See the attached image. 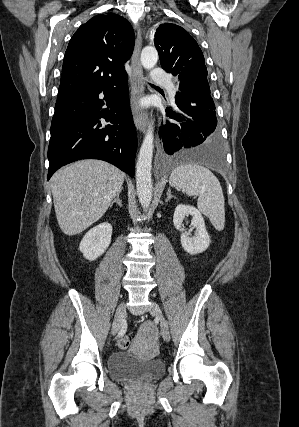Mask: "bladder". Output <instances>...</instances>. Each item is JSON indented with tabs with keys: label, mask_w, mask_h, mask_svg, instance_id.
I'll use <instances>...</instances> for the list:
<instances>
[{
	"label": "bladder",
	"mask_w": 299,
	"mask_h": 427,
	"mask_svg": "<svg viewBox=\"0 0 299 427\" xmlns=\"http://www.w3.org/2000/svg\"><path fill=\"white\" fill-rule=\"evenodd\" d=\"M165 370L161 360H142L127 352L114 353L108 360V374L118 381L153 380L161 377Z\"/></svg>",
	"instance_id": "31cf9c89"
}]
</instances>
